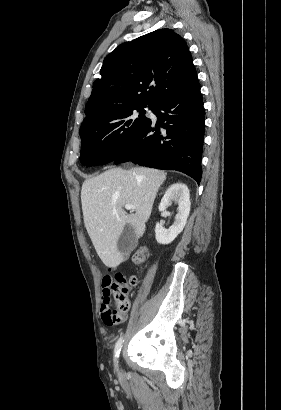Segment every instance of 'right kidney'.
Masks as SVG:
<instances>
[{"instance_id": "right-kidney-1", "label": "right kidney", "mask_w": 281, "mask_h": 410, "mask_svg": "<svg viewBox=\"0 0 281 410\" xmlns=\"http://www.w3.org/2000/svg\"><path fill=\"white\" fill-rule=\"evenodd\" d=\"M172 202L178 204L174 224L169 229L164 228L160 223H156L155 226L156 241L160 244L171 243L186 225L191 203L189 189L185 184L175 183L168 188L160 202L159 211H165Z\"/></svg>"}]
</instances>
